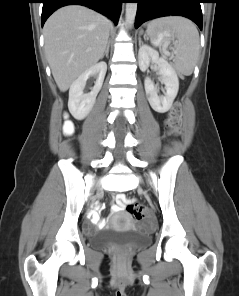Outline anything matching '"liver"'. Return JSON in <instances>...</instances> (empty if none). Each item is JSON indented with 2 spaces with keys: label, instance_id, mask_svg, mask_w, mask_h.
Returning <instances> with one entry per match:
<instances>
[{
  "label": "liver",
  "instance_id": "liver-1",
  "mask_svg": "<svg viewBox=\"0 0 239 296\" xmlns=\"http://www.w3.org/2000/svg\"><path fill=\"white\" fill-rule=\"evenodd\" d=\"M111 27L106 17L80 5L60 8L48 18L45 53L60 91L101 59Z\"/></svg>",
  "mask_w": 239,
  "mask_h": 296
}]
</instances>
